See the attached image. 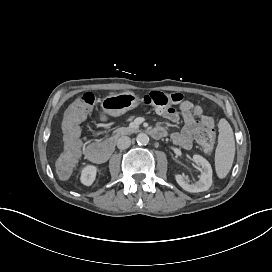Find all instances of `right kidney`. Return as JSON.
Here are the masks:
<instances>
[{"instance_id": "right-kidney-1", "label": "right kidney", "mask_w": 272, "mask_h": 272, "mask_svg": "<svg viewBox=\"0 0 272 272\" xmlns=\"http://www.w3.org/2000/svg\"><path fill=\"white\" fill-rule=\"evenodd\" d=\"M96 172L97 168L92 165H88L85 168H83L82 173H81V183L90 186L94 182L96 178Z\"/></svg>"}]
</instances>
